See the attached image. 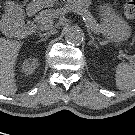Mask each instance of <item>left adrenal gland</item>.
<instances>
[{"instance_id":"obj_1","label":"left adrenal gland","mask_w":135,"mask_h":135,"mask_svg":"<svg viewBox=\"0 0 135 135\" xmlns=\"http://www.w3.org/2000/svg\"><path fill=\"white\" fill-rule=\"evenodd\" d=\"M89 45H94L95 47H97V43L95 42V39L92 35H90Z\"/></svg>"}]
</instances>
